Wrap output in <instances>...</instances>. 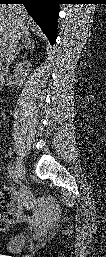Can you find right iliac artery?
Wrapping results in <instances>:
<instances>
[{"instance_id":"1","label":"right iliac artery","mask_w":106,"mask_h":257,"mask_svg":"<svg viewBox=\"0 0 106 257\" xmlns=\"http://www.w3.org/2000/svg\"><path fill=\"white\" fill-rule=\"evenodd\" d=\"M13 174H14V166H13L12 163H9V164H8V176H9V177H12Z\"/></svg>"}]
</instances>
